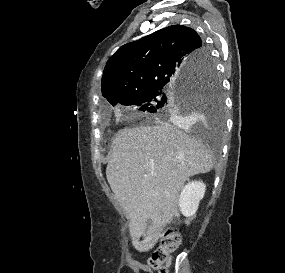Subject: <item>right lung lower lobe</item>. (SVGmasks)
Returning <instances> with one entry per match:
<instances>
[{
	"mask_svg": "<svg viewBox=\"0 0 285 273\" xmlns=\"http://www.w3.org/2000/svg\"><path fill=\"white\" fill-rule=\"evenodd\" d=\"M205 65H206V63L202 64L201 68H202L203 66H205ZM181 82H182V83H187L186 78H183Z\"/></svg>",
	"mask_w": 285,
	"mask_h": 273,
	"instance_id": "right-lung-lower-lobe-1",
	"label": "right lung lower lobe"
}]
</instances>
